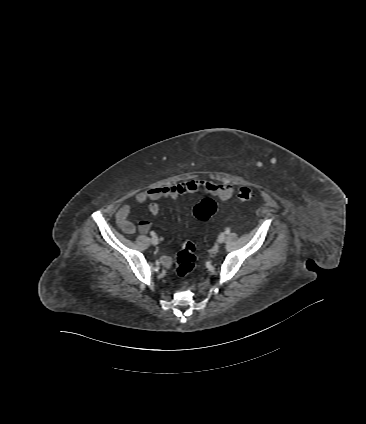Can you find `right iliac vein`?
Returning a JSON list of instances; mask_svg holds the SVG:
<instances>
[{
    "instance_id": "obj_1",
    "label": "right iliac vein",
    "mask_w": 366,
    "mask_h": 424,
    "mask_svg": "<svg viewBox=\"0 0 366 424\" xmlns=\"http://www.w3.org/2000/svg\"><path fill=\"white\" fill-rule=\"evenodd\" d=\"M151 243L153 245H157L159 243L158 237L157 236H153L151 239Z\"/></svg>"
}]
</instances>
